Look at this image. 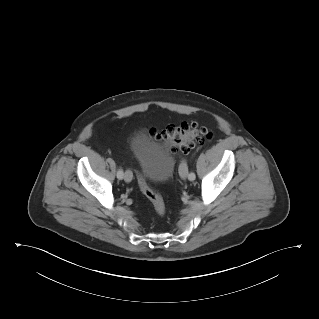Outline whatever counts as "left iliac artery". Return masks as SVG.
Instances as JSON below:
<instances>
[{
  "label": "left iliac artery",
  "instance_id": "left-iliac-artery-1",
  "mask_svg": "<svg viewBox=\"0 0 319 319\" xmlns=\"http://www.w3.org/2000/svg\"><path fill=\"white\" fill-rule=\"evenodd\" d=\"M183 162H184V161H183ZM183 162L180 164V167L182 166ZM195 178H196L195 173H194V172H190L188 179H189L190 181H193V180H195Z\"/></svg>",
  "mask_w": 319,
  "mask_h": 319
}]
</instances>
